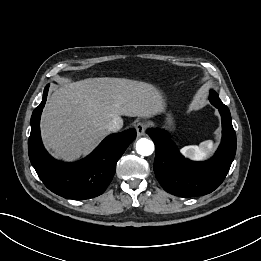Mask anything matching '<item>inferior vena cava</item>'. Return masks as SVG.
Here are the masks:
<instances>
[{"mask_svg": "<svg viewBox=\"0 0 261 261\" xmlns=\"http://www.w3.org/2000/svg\"><path fill=\"white\" fill-rule=\"evenodd\" d=\"M123 127V120L120 117L113 118L107 125L106 128L109 131L117 132Z\"/></svg>", "mask_w": 261, "mask_h": 261, "instance_id": "602c4592", "label": "inferior vena cava"}]
</instances>
